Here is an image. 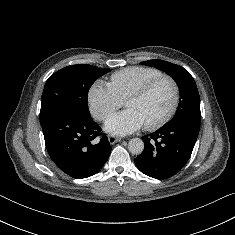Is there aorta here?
Listing matches in <instances>:
<instances>
[{
	"mask_svg": "<svg viewBox=\"0 0 235 235\" xmlns=\"http://www.w3.org/2000/svg\"><path fill=\"white\" fill-rule=\"evenodd\" d=\"M129 151L134 155H139L144 150V142L140 138H132L128 143Z\"/></svg>",
	"mask_w": 235,
	"mask_h": 235,
	"instance_id": "762f6f07",
	"label": "aorta"
}]
</instances>
